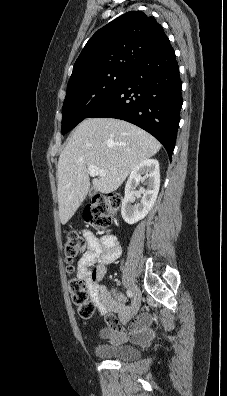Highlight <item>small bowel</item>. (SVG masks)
<instances>
[{
  "label": "small bowel",
  "mask_w": 227,
  "mask_h": 396,
  "mask_svg": "<svg viewBox=\"0 0 227 396\" xmlns=\"http://www.w3.org/2000/svg\"><path fill=\"white\" fill-rule=\"evenodd\" d=\"M87 250L77 264V277L81 279L88 291L91 301L102 314L112 312L107 316L108 326L100 332L101 336L113 343L132 340L138 343L148 342L153 333L149 328L151 316L143 313L137 317L126 305V297L116 289L108 290L102 283L107 266L115 262L121 249L118 240L113 236L98 238L91 231L85 230ZM129 323V331L122 325Z\"/></svg>",
  "instance_id": "obj_1"
}]
</instances>
